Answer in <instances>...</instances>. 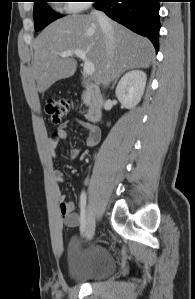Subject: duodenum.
<instances>
[{
    "mask_svg": "<svg viewBox=\"0 0 195 299\" xmlns=\"http://www.w3.org/2000/svg\"><path fill=\"white\" fill-rule=\"evenodd\" d=\"M85 98L88 105L86 118L88 121L95 123L101 118L103 111V95L100 88L94 83H85Z\"/></svg>",
    "mask_w": 195,
    "mask_h": 299,
    "instance_id": "duodenum-1",
    "label": "duodenum"
}]
</instances>
